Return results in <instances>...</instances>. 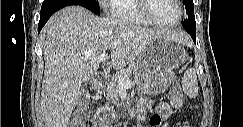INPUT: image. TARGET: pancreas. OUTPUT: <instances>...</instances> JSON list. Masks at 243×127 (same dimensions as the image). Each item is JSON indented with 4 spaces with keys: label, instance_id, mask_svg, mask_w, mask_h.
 <instances>
[{
    "label": "pancreas",
    "instance_id": "pancreas-1",
    "mask_svg": "<svg viewBox=\"0 0 243 127\" xmlns=\"http://www.w3.org/2000/svg\"><path fill=\"white\" fill-rule=\"evenodd\" d=\"M132 71H133L132 68L122 69L112 76L109 85L105 89V94L107 96V99L111 100L113 103H117L118 94L122 89L119 83V79L123 78L124 81L130 80L131 76L133 75Z\"/></svg>",
    "mask_w": 243,
    "mask_h": 127
}]
</instances>
